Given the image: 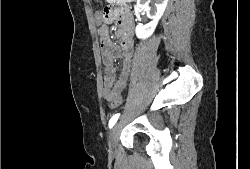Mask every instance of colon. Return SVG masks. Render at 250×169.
<instances>
[{
  "label": "colon",
  "instance_id": "5ec220e1",
  "mask_svg": "<svg viewBox=\"0 0 250 169\" xmlns=\"http://www.w3.org/2000/svg\"><path fill=\"white\" fill-rule=\"evenodd\" d=\"M98 34H103V29H98ZM100 51H105V40H100ZM105 95H116V93H106ZM110 108H117V104H122V97H108Z\"/></svg>",
  "mask_w": 250,
  "mask_h": 169
}]
</instances>
